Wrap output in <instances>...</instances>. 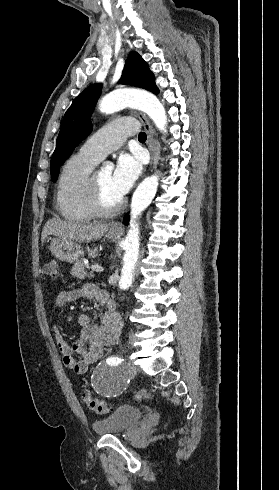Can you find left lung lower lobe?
Segmentation results:
<instances>
[{"label":"left lung lower lobe","mask_w":279,"mask_h":490,"mask_svg":"<svg viewBox=\"0 0 279 490\" xmlns=\"http://www.w3.org/2000/svg\"><path fill=\"white\" fill-rule=\"evenodd\" d=\"M128 221H129V217H128V215H126V216L124 217L123 222H124V224H125V225H128Z\"/></svg>","instance_id":"0a47b994"}]
</instances>
